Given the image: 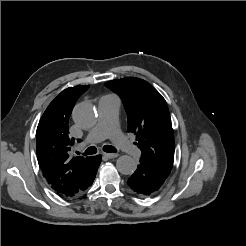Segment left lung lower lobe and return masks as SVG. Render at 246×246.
I'll list each match as a JSON object with an SVG mask.
<instances>
[{"mask_svg":"<svg viewBox=\"0 0 246 246\" xmlns=\"http://www.w3.org/2000/svg\"><path fill=\"white\" fill-rule=\"evenodd\" d=\"M168 175L150 162L140 160L137 170L127 183L138 195L147 196L158 191Z\"/></svg>","mask_w":246,"mask_h":246,"instance_id":"1","label":"left lung lower lobe"}]
</instances>
